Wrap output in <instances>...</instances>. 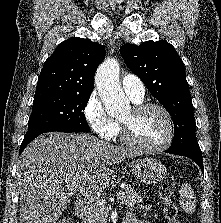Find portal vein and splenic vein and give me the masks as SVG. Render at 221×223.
Wrapping results in <instances>:
<instances>
[{
  "label": "portal vein and splenic vein",
  "mask_w": 221,
  "mask_h": 223,
  "mask_svg": "<svg viewBox=\"0 0 221 223\" xmlns=\"http://www.w3.org/2000/svg\"><path fill=\"white\" fill-rule=\"evenodd\" d=\"M65 186L72 192H77L90 200L91 202H96L97 204H103L104 201L101 200L99 197H97L93 192L87 188H85L83 185L77 184V185H71L66 183ZM123 195V192H119V198Z\"/></svg>",
  "instance_id": "portal-vein-and-splenic-vein-1"
}]
</instances>
